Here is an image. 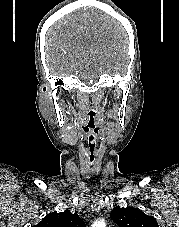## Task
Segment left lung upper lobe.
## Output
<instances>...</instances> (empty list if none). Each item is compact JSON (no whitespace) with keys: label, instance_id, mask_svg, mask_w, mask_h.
<instances>
[{"label":"left lung upper lobe","instance_id":"obj_1","mask_svg":"<svg viewBox=\"0 0 179 227\" xmlns=\"http://www.w3.org/2000/svg\"><path fill=\"white\" fill-rule=\"evenodd\" d=\"M111 217L119 227H159L153 216L146 215L135 208L115 207Z\"/></svg>","mask_w":179,"mask_h":227}]
</instances>
